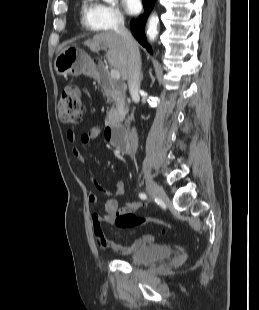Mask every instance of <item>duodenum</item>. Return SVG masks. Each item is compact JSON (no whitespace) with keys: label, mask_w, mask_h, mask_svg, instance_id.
<instances>
[{"label":"duodenum","mask_w":259,"mask_h":310,"mask_svg":"<svg viewBox=\"0 0 259 310\" xmlns=\"http://www.w3.org/2000/svg\"><path fill=\"white\" fill-rule=\"evenodd\" d=\"M95 77L101 86L109 93L120 95L119 86L104 72L103 66L96 62L93 66ZM107 140L123 153H130L131 146L128 138V130L120 124L108 123L105 128Z\"/></svg>","instance_id":"duodenum-1"}]
</instances>
